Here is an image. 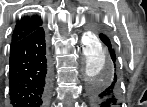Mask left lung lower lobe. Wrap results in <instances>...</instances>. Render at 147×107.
<instances>
[{
	"instance_id": "0a47b994",
	"label": "left lung lower lobe",
	"mask_w": 147,
	"mask_h": 107,
	"mask_svg": "<svg viewBox=\"0 0 147 107\" xmlns=\"http://www.w3.org/2000/svg\"><path fill=\"white\" fill-rule=\"evenodd\" d=\"M100 39L105 44L108 56L115 68L116 53L110 39L103 33L100 34ZM87 95L92 107H118V76L116 69H114L111 77L106 80L91 81L87 87Z\"/></svg>"
}]
</instances>
